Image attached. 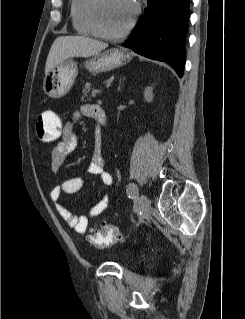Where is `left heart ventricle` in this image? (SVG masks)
Wrapping results in <instances>:
<instances>
[{"mask_svg": "<svg viewBox=\"0 0 245 319\" xmlns=\"http://www.w3.org/2000/svg\"><path fill=\"white\" fill-rule=\"evenodd\" d=\"M133 8L128 0H102L100 22L108 32H119L132 18Z\"/></svg>", "mask_w": 245, "mask_h": 319, "instance_id": "1", "label": "left heart ventricle"}]
</instances>
